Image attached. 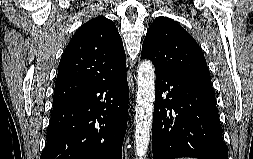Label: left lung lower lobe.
<instances>
[{
  "instance_id": "1",
  "label": "left lung lower lobe",
  "mask_w": 253,
  "mask_h": 159,
  "mask_svg": "<svg viewBox=\"0 0 253 159\" xmlns=\"http://www.w3.org/2000/svg\"><path fill=\"white\" fill-rule=\"evenodd\" d=\"M153 159H228L211 80L156 72Z\"/></svg>"
}]
</instances>
